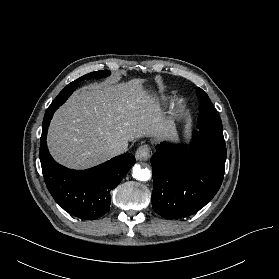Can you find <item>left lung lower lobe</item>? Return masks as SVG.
I'll return each instance as SVG.
<instances>
[{"label": "left lung lower lobe", "instance_id": "obj_1", "mask_svg": "<svg viewBox=\"0 0 279 279\" xmlns=\"http://www.w3.org/2000/svg\"><path fill=\"white\" fill-rule=\"evenodd\" d=\"M225 143L193 131L189 149L164 142L151 158L154 187L152 206L166 219L188 217L217 193L224 177Z\"/></svg>", "mask_w": 279, "mask_h": 279}]
</instances>
